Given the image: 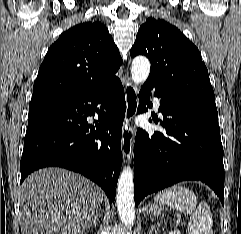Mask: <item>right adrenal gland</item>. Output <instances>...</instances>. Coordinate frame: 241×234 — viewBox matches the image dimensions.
Wrapping results in <instances>:
<instances>
[{"label": "right adrenal gland", "mask_w": 241, "mask_h": 234, "mask_svg": "<svg viewBox=\"0 0 241 234\" xmlns=\"http://www.w3.org/2000/svg\"><path fill=\"white\" fill-rule=\"evenodd\" d=\"M99 216H100V212L95 216L94 221H93V223H92V225H93L94 228L97 226V221H98V217H99ZM92 225H91V226H92Z\"/></svg>", "instance_id": "1"}]
</instances>
